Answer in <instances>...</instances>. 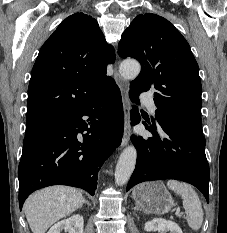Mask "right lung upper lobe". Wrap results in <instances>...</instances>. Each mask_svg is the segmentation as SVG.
Masks as SVG:
<instances>
[{
	"mask_svg": "<svg viewBox=\"0 0 227 233\" xmlns=\"http://www.w3.org/2000/svg\"><path fill=\"white\" fill-rule=\"evenodd\" d=\"M115 54L97 21L67 17L43 44L28 88L26 133L80 110L111 87L106 75Z\"/></svg>",
	"mask_w": 227,
	"mask_h": 233,
	"instance_id": "cb5924a9",
	"label": "right lung upper lobe"
}]
</instances>
